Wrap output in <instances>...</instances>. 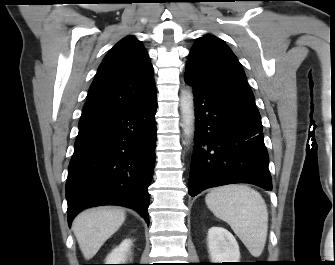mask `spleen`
I'll use <instances>...</instances> for the list:
<instances>
[{
	"instance_id": "spleen-1",
	"label": "spleen",
	"mask_w": 335,
	"mask_h": 265,
	"mask_svg": "<svg viewBox=\"0 0 335 265\" xmlns=\"http://www.w3.org/2000/svg\"><path fill=\"white\" fill-rule=\"evenodd\" d=\"M205 202L213 214L227 222L250 254H262L268 231V211L261 194L244 184L212 189Z\"/></svg>"
}]
</instances>
